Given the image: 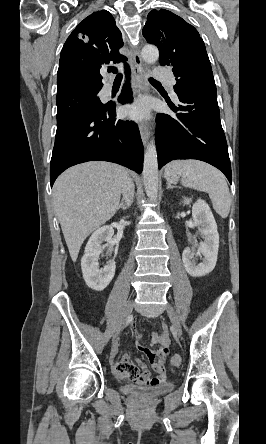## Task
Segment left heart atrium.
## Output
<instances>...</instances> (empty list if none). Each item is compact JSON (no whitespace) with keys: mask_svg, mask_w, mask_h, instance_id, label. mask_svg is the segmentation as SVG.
Segmentation results:
<instances>
[{"mask_svg":"<svg viewBox=\"0 0 266 444\" xmlns=\"http://www.w3.org/2000/svg\"><path fill=\"white\" fill-rule=\"evenodd\" d=\"M125 113L130 118L136 120L148 118L150 114V104L146 99H138L125 107Z\"/></svg>","mask_w":266,"mask_h":444,"instance_id":"1","label":"left heart atrium"}]
</instances>
